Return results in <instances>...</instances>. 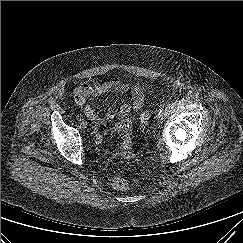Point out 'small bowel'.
<instances>
[{
    "label": "small bowel",
    "mask_w": 243,
    "mask_h": 243,
    "mask_svg": "<svg viewBox=\"0 0 243 243\" xmlns=\"http://www.w3.org/2000/svg\"><path fill=\"white\" fill-rule=\"evenodd\" d=\"M111 90L118 94L131 93V103L123 104L120 107L118 111V119L110 130L111 133L127 135L131 127V112L140 109L144 101L143 92L139 86H130L118 81L100 82L92 80L81 81L73 92L75 104L82 108L86 117L93 123L95 139L98 143L103 140V134L100 131V128L105 123V119L95 112L94 107L89 104L88 100L105 96ZM112 118V116L108 117V119Z\"/></svg>",
    "instance_id": "obj_1"
}]
</instances>
